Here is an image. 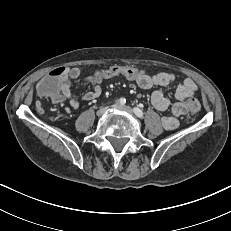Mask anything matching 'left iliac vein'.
Here are the masks:
<instances>
[{
	"instance_id": "4c4485c4",
	"label": "left iliac vein",
	"mask_w": 231,
	"mask_h": 231,
	"mask_svg": "<svg viewBox=\"0 0 231 231\" xmlns=\"http://www.w3.org/2000/svg\"><path fill=\"white\" fill-rule=\"evenodd\" d=\"M113 108L133 114V110L129 106L113 105Z\"/></svg>"
}]
</instances>
